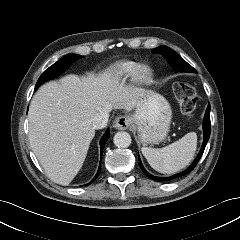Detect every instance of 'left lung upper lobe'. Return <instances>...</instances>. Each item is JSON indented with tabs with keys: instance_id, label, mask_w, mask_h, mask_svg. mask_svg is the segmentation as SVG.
<instances>
[{
	"instance_id": "5c2ea615",
	"label": "left lung upper lobe",
	"mask_w": 240,
	"mask_h": 240,
	"mask_svg": "<svg viewBox=\"0 0 240 240\" xmlns=\"http://www.w3.org/2000/svg\"><path fill=\"white\" fill-rule=\"evenodd\" d=\"M155 54L163 55L171 65L177 70L183 72H196V70L189 65L180 55L167 46H160L152 50Z\"/></svg>"
}]
</instances>
